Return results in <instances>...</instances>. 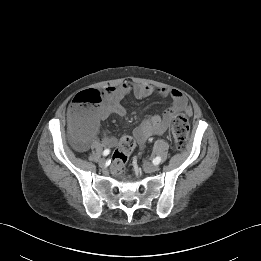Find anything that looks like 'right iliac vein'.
I'll return each mask as SVG.
<instances>
[{"label": "right iliac vein", "instance_id": "right-iliac-vein-1", "mask_svg": "<svg viewBox=\"0 0 261 261\" xmlns=\"http://www.w3.org/2000/svg\"><path fill=\"white\" fill-rule=\"evenodd\" d=\"M98 164H99L101 167H104V166L106 165V160H105L104 158H101V159H99Z\"/></svg>", "mask_w": 261, "mask_h": 261}]
</instances>
